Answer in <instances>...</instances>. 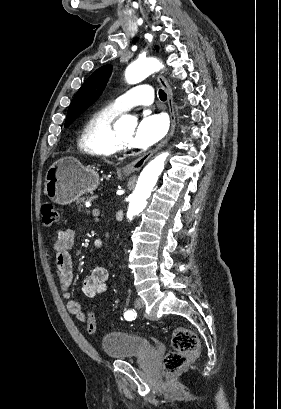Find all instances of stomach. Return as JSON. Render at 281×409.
<instances>
[{
    "label": "stomach",
    "instance_id": "obj_1",
    "mask_svg": "<svg viewBox=\"0 0 281 409\" xmlns=\"http://www.w3.org/2000/svg\"><path fill=\"white\" fill-rule=\"evenodd\" d=\"M100 184L95 166H84L74 156L58 158L45 176V194L57 205H70L85 192H93Z\"/></svg>",
    "mask_w": 281,
    "mask_h": 409
}]
</instances>
